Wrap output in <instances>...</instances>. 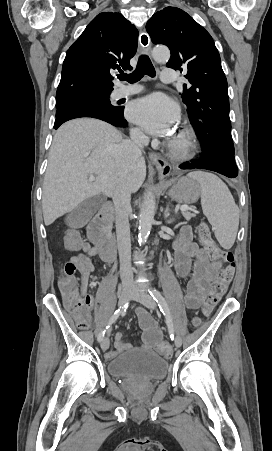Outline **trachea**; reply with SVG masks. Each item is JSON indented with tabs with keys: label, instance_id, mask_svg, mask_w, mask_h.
<instances>
[{
	"label": "trachea",
	"instance_id": "obj_1",
	"mask_svg": "<svg viewBox=\"0 0 272 451\" xmlns=\"http://www.w3.org/2000/svg\"><path fill=\"white\" fill-rule=\"evenodd\" d=\"M144 75H149L150 77L155 76V69L152 65L150 58L146 55L140 56L138 64L134 72L131 74L120 73L118 75L119 80H126L129 83L138 82Z\"/></svg>",
	"mask_w": 272,
	"mask_h": 451
}]
</instances>
